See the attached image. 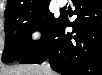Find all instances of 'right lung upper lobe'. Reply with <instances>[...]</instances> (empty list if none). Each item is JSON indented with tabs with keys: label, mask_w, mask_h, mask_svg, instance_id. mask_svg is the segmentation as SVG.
<instances>
[{
	"label": "right lung upper lobe",
	"mask_w": 102,
	"mask_h": 75,
	"mask_svg": "<svg viewBox=\"0 0 102 75\" xmlns=\"http://www.w3.org/2000/svg\"><path fill=\"white\" fill-rule=\"evenodd\" d=\"M50 0H8L5 16L22 11H30L48 4Z\"/></svg>",
	"instance_id": "right-lung-upper-lobe-1"
}]
</instances>
